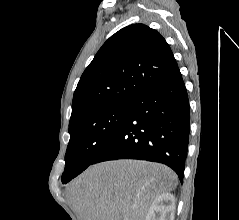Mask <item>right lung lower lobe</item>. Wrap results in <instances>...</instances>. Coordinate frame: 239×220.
<instances>
[{"instance_id":"right-lung-lower-lobe-1","label":"right lung lower lobe","mask_w":239,"mask_h":220,"mask_svg":"<svg viewBox=\"0 0 239 220\" xmlns=\"http://www.w3.org/2000/svg\"><path fill=\"white\" fill-rule=\"evenodd\" d=\"M190 107L176 66L129 103L127 115L92 164L116 159L163 163L183 181Z\"/></svg>"}]
</instances>
